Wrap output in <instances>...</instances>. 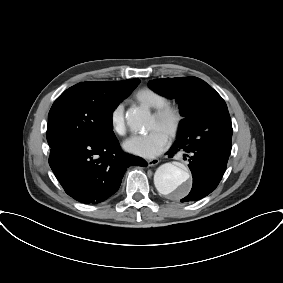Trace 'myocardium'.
I'll use <instances>...</instances> for the list:
<instances>
[{"instance_id":"f54148a6","label":"myocardium","mask_w":283,"mask_h":283,"mask_svg":"<svg viewBox=\"0 0 283 283\" xmlns=\"http://www.w3.org/2000/svg\"><path fill=\"white\" fill-rule=\"evenodd\" d=\"M152 116L158 120H168L170 122L167 132L169 138H174L179 133L184 121L181 109L176 104L169 102L154 109Z\"/></svg>"}]
</instances>
